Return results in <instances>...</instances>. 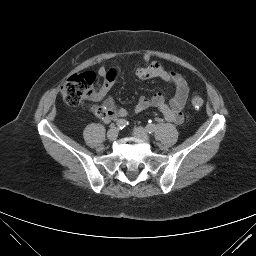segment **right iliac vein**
Wrapping results in <instances>:
<instances>
[{"instance_id": "1", "label": "right iliac vein", "mask_w": 256, "mask_h": 256, "mask_svg": "<svg viewBox=\"0 0 256 256\" xmlns=\"http://www.w3.org/2000/svg\"><path fill=\"white\" fill-rule=\"evenodd\" d=\"M118 128L116 127H112L111 129H109V131L107 132V138L109 141H114L117 139L118 137Z\"/></svg>"}]
</instances>
